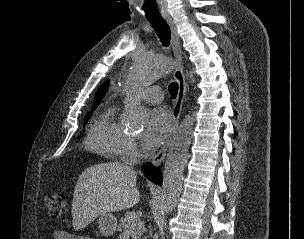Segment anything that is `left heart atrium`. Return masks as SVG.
<instances>
[{"label":"left heart atrium","instance_id":"obj_1","mask_svg":"<svg viewBox=\"0 0 304 239\" xmlns=\"http://www.w3.org/2000/svg\"><path fill=\"white\" fill-rule=\"evenodd\" d=\"M172 118L169 111L164 108L154 110L146 130L142 135V145L145 150L156 149L167 137L171 130Z\"/></svg>","mask_w":304,"mask_h":239}]
</instances>
